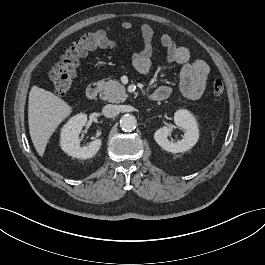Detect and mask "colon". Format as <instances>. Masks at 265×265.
Wrapping results in <instances>:
<instances>
[{"instance_id": "obj_1", "label": "colon", "mask_w": 265, "mask_h": 265, "mask_svg": "<svg viewBox=\"0 0 265 265\" xmlns=\"http://www.w3.org/2000/svg\"><path fill=\"white\" fill-rule=\"evenodd\" d=\"M112 45L113 40L106 31L87 33L73 42L50 70L49 77L55 92L62 96L69 93L77 75L79 60L88 51ZM224 92L222 81L215 80L212 84V94L216 102L222 101Z\"/></svg>"}]
</instances>
